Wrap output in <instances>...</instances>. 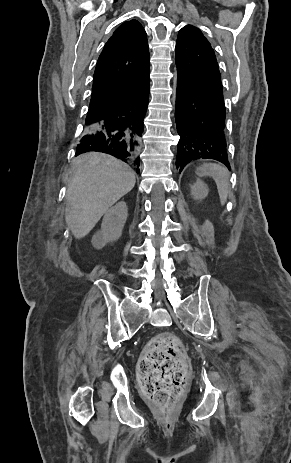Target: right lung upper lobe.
<instances>
[{
  "instance_id": "obj_1",
  "label": "right lung upper lobe",
  "mask_w": 291,
  "mask_h": 463,
  "mask_svg": "<svg viewBox=\"0 0 291 463\" xmlns=\"http://www.w3.org/2000/svg\"><path fill=\"white\" fill-rule=\"evenodd\" d=\"M149 47L142 25L131 20L119 26L105 44L94 72L86 124L121 106L149 84Z\"/></svg>"
}]
</instances>
